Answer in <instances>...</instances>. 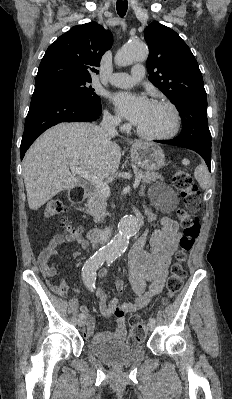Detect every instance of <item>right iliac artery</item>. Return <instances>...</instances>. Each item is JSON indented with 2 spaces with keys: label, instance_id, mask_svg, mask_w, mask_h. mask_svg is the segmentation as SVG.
<instances>
[{
  "label": "right iliac artery",
  "instance_id": "82829eb1",
  "mask_svg": "<svg viewBox=\"0 0 232 399\" xmlns=\"http://www.w3.org/2000/svg\"><path fill=\"white\" fill-rule=\"evenodd\" d=\"M105 255H92L82 267V279L86 287L91 291L96 290V271L103 265ZM83 318V315H80Z\"/></svg>",
  "mask_w": 232,
  "mask_h": 399
}]
</instances>
